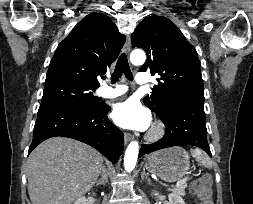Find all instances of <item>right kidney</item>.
<instances>
[{
    "mask_svg": "<svg viewBox=\"0 0 253 204\" xmlns=\"http://www.w3.org/2000/svg\"><path fill=\"white\" fill-rule=\"evenodd\" d=\"M74 204H87V200L85 197H81L79 199H77Z\"/></svg>",
    "mask_w": 253,
    "mask_h": 204,
    "instance_id": "right-kidney-1",
    "label": "right kidney"
}]
</instances>
